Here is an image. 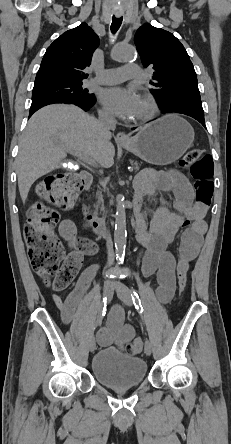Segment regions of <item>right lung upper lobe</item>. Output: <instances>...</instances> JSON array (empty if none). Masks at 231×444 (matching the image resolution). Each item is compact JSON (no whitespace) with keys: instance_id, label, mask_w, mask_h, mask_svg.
Returning a JSON list of instances; mask_svg holds the SVG:
<instances>
[{"instance_id":"cb5924a9","label":"right lung upper lobe","mask_w":231,"mask_h":444,"mask_svg":"<svg viewBox=\"0 0 231 444\" xmlns=\"http://www.w3.org/2000/svg\"><path fill=\"white\" fill-rule=\"evenodd\" d=\"M99 38L82 23L59 36L46 50L34 82V88L55 83H82L83 70L91 63Z\"/></svg>"}]
</instances>
